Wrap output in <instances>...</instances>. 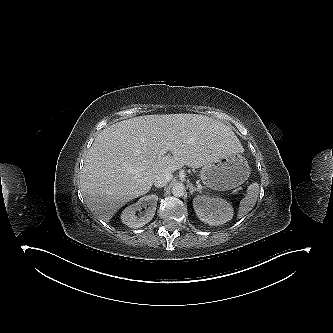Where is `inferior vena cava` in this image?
<instances>
[{
    "label": "inferior vena cava",
    "mask_w": 333,
    "mask_h": 333,
    "mask_svg": "<svg viewBox=\"0 0 333 333\" xmlns=\"http://www.w3.org/2000/svg\"><path fill=\"white\" fill-rule=\"evenodd\" d=\"M173 178V175L169 172L159 173L154 178V186L157 188H161L166 186Z\"/></svg>",
    "instance_id": "inferior-vena-cava-1"
}]
</instances>
